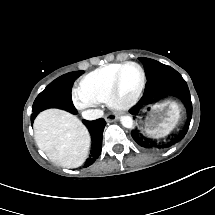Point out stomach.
I'll return each mask as SVG.
<instances>
[{"label": "stomach", "instance_id": "stomach-1", "mask_svg": "<svg viewBox=\"0 0 215 215\" xmlns=\"http://www.w3.org/2000/svg\"><path fill=\"white\" fill-rule=\"evenodd\" d=\"M182 109L174 101H166L144 109L137 119L138 127L153 138H164L182 122Z\"/></svg>", "mask_w": 215, "mask_h": 215}]
</instances>
